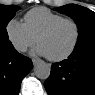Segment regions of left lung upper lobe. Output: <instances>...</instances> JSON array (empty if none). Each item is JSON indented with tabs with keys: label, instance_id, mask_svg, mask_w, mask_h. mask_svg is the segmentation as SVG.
<instances>
[{
	"label": "left lung upper lobe",
	"instance_id": "5c2ea615",
	"mask_svg": "<svg viewBox=\"0 0 95 95\" xmlns=\"http://www.w3.org/2000/svg\"><path fill=\"white\" fill-rule=\"evenodd\" d=\"M60 13H64L77 23L79 36L75 49L95 41V13L85 7L69 4L56 9Z\"/></svg>",
	"mask_w": 95,
	"mask_h": 95
}]
</instances>
